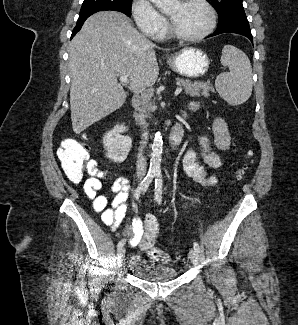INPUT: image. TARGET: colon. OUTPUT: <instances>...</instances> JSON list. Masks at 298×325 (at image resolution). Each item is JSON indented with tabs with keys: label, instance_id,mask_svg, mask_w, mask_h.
I'll return each instance as SVG.
<instances>
[{
	"label": "colon",
	"instance_id": "1",
	"mask_svg": "<svg viewBox=\"0 0 298 325\" xmlns=\"http://www.w3.org/2000/svg\"><path fill=\"white\" fill-rule=\"evenodd\" d=\"M87 147L85 145L65 146L59 151V159L63 171L67 178L74 182H80L84 173H90L95 170L98 165L94 160H90L87 156ZM250 158L251 153H247ZM249 163H246L239 171L238 176L241 177L248 169ZM159 231V222L153 215H147L144 219L143 235L139 242V247L142 251L154 261L162 263L172 262V257L155 246L156 235Z\"/></svg>",
	"mask_w": 298,
	"mask_h": 325
}]
</instances>
